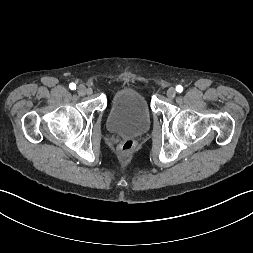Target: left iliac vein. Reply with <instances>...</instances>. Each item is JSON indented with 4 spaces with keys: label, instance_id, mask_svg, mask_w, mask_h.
<instances>
[{
    "label": "left iliac vein",
    "instance_id": "4c4485c4",
    "mask_svg": "<svg viewBox=\"0 0 253 253\" xmlns=\"http://www.w3.org/2000/svg\"><path fill=\"white\" fill-rule=\"evenodd\" d=\"M166 95L168 98L173 99L176 96V90L173 87H170L167 92Z\"/></svg>",
    "mask_w": 253,
    "mask_h": 253
}]
</instances>
